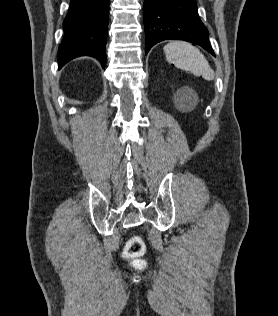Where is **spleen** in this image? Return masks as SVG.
<instances>
[{
	"label": "spleen",
	"mask_w": 278,
	"mask_h": 316,
	"mask_svg": "<svg viewBox=\"0 0 278 316\" xmlns=\"http://www.w3.org/2000/svg\"><path fill=\"white\" fill-rule=\"evenodd\" d=\"M166 60L177 68L202 76L206 80L214 79V71L200 50L184 41H173L164 46Z\"/></svg>",
	"instance_id": "3e777b00"
}]
</instances>
